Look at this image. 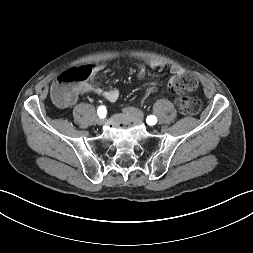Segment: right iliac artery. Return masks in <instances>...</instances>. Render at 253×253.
Wrapping results in <instances>:
<instances>
[{
	"instance_id": "1",
	"label": "right iliac artery",
	"mask_w": 253,
	"mask_h": 253,
	"mask_svg": "<svg viewBox=\"0 0 253 253\" xmlns=\"http://www.w3.org/2000/svg\"><path fill=\"white\" fill-rule=\"evenodd\" d=\"M98 116L100 118H104L106 116L107 110L105 106H99L98 110H97Z\"/></svg>"
}]
</instances>
